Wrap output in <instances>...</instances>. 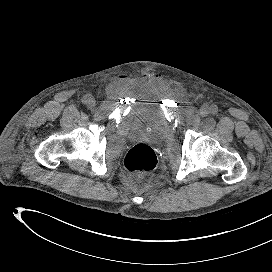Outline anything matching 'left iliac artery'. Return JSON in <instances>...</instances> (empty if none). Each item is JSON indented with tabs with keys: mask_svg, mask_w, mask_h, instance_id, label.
<instances>
[{
	"mask_svg": "<svg viewBox=\"0 0 272 272\" xmlns=\"http://www.w3.org/2000/svg\"><path fill=\"white\" fill-rule=\"evenodd\" d=\"M210 110L212 114H216L218 112V107L216 105H213Z\"/></svg>",
	"mask_w": 272,
	"mask_h": 272,
	"instance_id": "left-iliac-artery-1",
	"label": "left iliac artery"
}]
</instances>
